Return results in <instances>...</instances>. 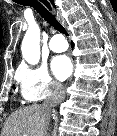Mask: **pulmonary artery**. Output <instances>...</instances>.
Instances as JSON below:
<instances>
[{"mask_svg": "<svg viewBox=\"0 0 117 136\" xmlns=\"http://www.w3.org/2000/svg\"><path fill=\"white\" fill-rule=\"evenodd\" d=\"M67 47V42L59 35L53 36L49 42V48L53 52H63Z\"/></svg>", "mask_w": 117, "mask_h": 136, "instance_id": "e3ab8cb5", "label": "pulmonary artery"}]
</instances>
